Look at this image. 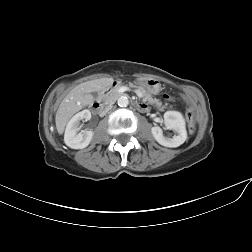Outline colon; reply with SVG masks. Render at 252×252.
Here are the masks:
<instances>
[{
  "label": "colon",
  "instance_id": "obj_1",
  "mask_svg": "<svg viewBox=\"0 0 252 252\" xmlns=\"http://www.w3.org/2000/svg\"><path fill=\"white\" fill-rule=\"evenodd\" d=\"M167 99H171L170 96L166 95L165 96ZM187 119H188V126H189V130L191 132H193L195 130L196 127V111L193 107H190L187 110Z\"/></svg>",
  "mask_w": 252,
  "mask_h": 252
}]
</instances>
